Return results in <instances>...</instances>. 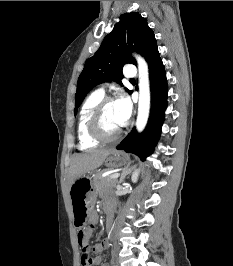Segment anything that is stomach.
<instances>
[{
    "mask_svg": "<svg viewBox=\"0 0 233 266\" xmlns=\"http://www.w3.org/2000/svg\"><path fill=\"white\" fill-rule=\"evenodd\" d=\"M127 160L128 157L123 152L112 150L105 159V165L109 168H117L125 165ZM92 182L93 173H88L78 178L71 186L70 193L73 203L74 228H87V225H89L86 211L89 207V200L95 197Z\"/></svg>",
    "mask_w": 233,
    "mask_h": 266,
    "instance_id": "1",
    "label": "stomach"
}]
</instances>
